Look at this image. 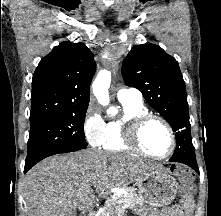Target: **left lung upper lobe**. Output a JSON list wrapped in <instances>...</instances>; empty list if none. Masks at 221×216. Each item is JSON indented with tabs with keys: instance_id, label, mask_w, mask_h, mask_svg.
Listing matches in <instances>:
<instances>
[{
	"instance_id": "left-lung-upper-lobe-1",
	"label": "left lung upper lobe",
	"mask_w": 221,
	"mask_h": 216,
	"mask_svg": "<svg viewBox=\"0 0 221 216\" xmlns=\"http://www.w3.org/2000/svg\"><path fill=\"white\" fill-rule=\"evenodd\" d=\"M126 85L140 90L176 132V145L194 149L188 103L178 62L158 45H135L122 65Z\"/></svg>"
}]
</instances>
